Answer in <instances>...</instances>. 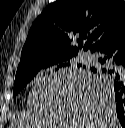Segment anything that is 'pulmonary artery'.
Wrapping results in <instances>:
<instances>
[{"label":"pulmonary artery","instance_id":"pulmonary-artery-1","mask_svg":"<svg viewBox=\"0 0 125 128\" xmlns=\"http://www.w3.org/2000/svg\"><path fill=\"white\" fill-rule=\"evenodd\" d=\"M83 59H84V60H89V57L85 56Z\"/></svg>","mask_w":125,"mask_h":128}]
</instances>
